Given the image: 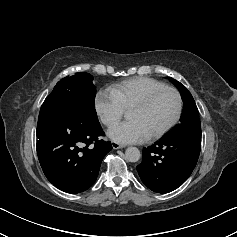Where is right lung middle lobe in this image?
Instances as JSON below:
<instances>
[{"label": "right lung middle lobe", "instance_id": "obj_1", "mask_svg": "<svg viewBox=\"0 0 237 237\" xmlns=\"http://www.w3.org/2000/svg\"><path fill=\"white\" fill-rule=\"evenodd\" d=\"M88 73H76L60 80L41 108L58 111L74 121L98 123L95 111L96 87Z\"/></svg>", "mask_w": 237, "mask_h": 237}]
</instances>
